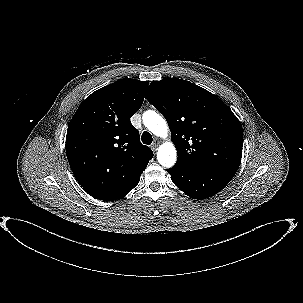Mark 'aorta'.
Segmentation results:
<instances>
[{"label": "aorta", "mask_w": 303, "mask_h": 303, "mask_svg": "<svg viewBox=\"0 0 303 303\" xmlns=\"http://www.w3.org/2000/svg\"><path fill=\"white\" fill-rule=\"evenodd\" d=\"M142 119L145 127L154 135L161 138H166L168 136L169 129L166 121L155 111L149 110L144 112ZM176 159L177 153L172 142L168 141L159 146L157 160L163 167H172L175 164Z\"/></svg>", "instance_id": "762f6f07"}]
</instances>
